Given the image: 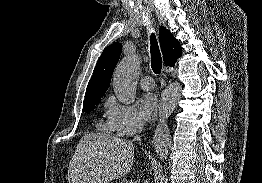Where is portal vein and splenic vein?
<instances>
[{
  "mask_svg": "<svg viewBox=\"0 0 262 183\" xmlns=\"http://www.w3.org/2000/svg\"><path fill=\"white\" fill-rule=\"evenodd\" d=\"M130 183H135L134 181H130Z\"/></svg>",
  "mask_w": 262,
  "mask_h": 183,
  "instance_id": "1",
  "label": "portal vein and splenic vein"
}]
</instances>
